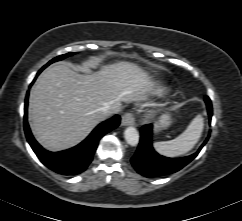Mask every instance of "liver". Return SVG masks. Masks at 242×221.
<instances>
[{
    "label": "liver",
    "mask_w": 242,
    "mask_h": 221,
    "mask_svg": "<svg viewBox=\"0 0 242 221\" xmlns=\"http://www.w3.org/2000/svg\"><path fill=\"white\" fill-rule=\"evenodd\" d=\"M151 89L150 76L134 63L104 65L88 74L55 65L39 75L30 92V128L45 149L65 150L104 120L100 107L109 104L119 111L122 102L145 100Z\"/></svg>",
    "instance_id": "liver-1"
}]
</instances>
